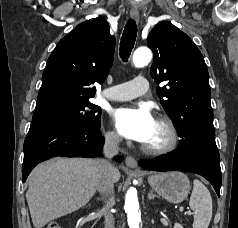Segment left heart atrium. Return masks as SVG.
Here are the masks:
<instances>
[{
  "label": "left heart atrium",
  "mask_w": 238,
  "mask_h": 228,
  "mask_svg": "<svg viewBox=\"0 0 238 228\" xmlns=\"http://www.w3.org/2000/svg\"><path fill=\"white\" fill-rule=\"evenodd\" d=\"M112 117L121 136L141 143L151 137L156 124L151 112L144 107H121Z\"/></svg>",
  "instance_id": "1"
}]
</instances>
